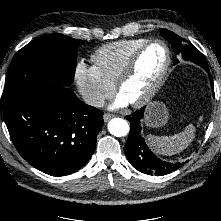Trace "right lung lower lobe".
Returning a JSON list of instances; mask_svg holds the SVG:
<instances>
[{"label":"right lung lower lobe","instance_id":"right-lung-lower-lobe-1","mask_svg":"<svg viewBox=\"0 0 221 221\" xmlns=\"http://www.w3.org/2000/svg\"><path fill=\"white\" fill-rule=\"evenodd\" d=\"M2 98L11 139L32 166L49 175L65 176L89 161L103 126L102 111L55 81L34 91L3 93Z\"/></svg>","mask_w":221,"mask_h":221}]
</instances>
